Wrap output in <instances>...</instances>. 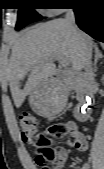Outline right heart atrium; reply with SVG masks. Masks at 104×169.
<instances>
[{"label":"right heart atrium","mask_w":104,"mask_h":169,"mask_svg":"<svg viewBox=\"0 0 104 169\" xmlns=\"http://www.w3.org/2000/svg\"><path fill=\"white\" fill-rule=\"evenodd\" d=\"M48 12L51 14L59 12V9H48Z\"/></svg>","instance_id":"d8ad5b80"}]
</instances>
